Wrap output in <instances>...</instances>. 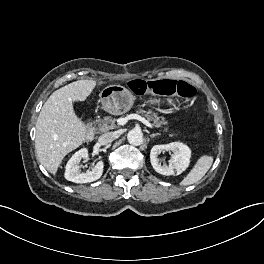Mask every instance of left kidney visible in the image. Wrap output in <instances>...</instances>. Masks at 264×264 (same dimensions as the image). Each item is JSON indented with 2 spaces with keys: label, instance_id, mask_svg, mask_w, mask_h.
<instances>
[{
  "label": "left kidney",
  "instance_id": "left-kidney-1",
  "mask_svg": "<svg viewBox=\"0 0 264 264\" xmlns=\"http://www.w3.org/2000/svg\"><path fill=\"white\" fill-rule=\"evenodd\" d=\"M162 151H172L169 165H161L158 156ZM191 157L190 148L181 142H171L164 145H155L150 152V161L156 172L162 175L182 173L189 166Z\"/></svg>",
  "mask_w": 264,
  "mask_h": 264
}]
</instances>
